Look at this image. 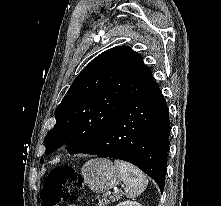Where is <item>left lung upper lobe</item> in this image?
Here are the masks:
<instances>
[{"instance_id":"5c2ea615","label":"left lung upper lobe","mask_w":221,"mask_h":206,"mask_svg":"<svg viewBox=\"0 0 221 206\" xmlns=\"http://www.w3.org/2000/svg\"><path fill=\"white\" fill-rule=\"evenodd\" d=\"M153 83L151 70L130 47L104 51L78 75L56 109V124L44 140L46 153L63 143L70 154L78 153Z\"/></svg>"}]
</instances>
